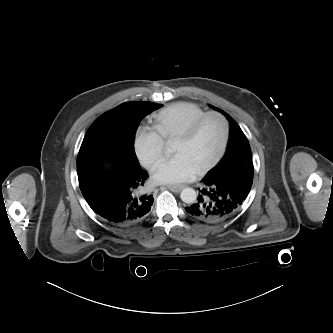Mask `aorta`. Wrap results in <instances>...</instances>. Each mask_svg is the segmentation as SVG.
Listing matches in <instances>:
<instances>
[{"mask_svg":"<svg viewBox=\"0 0 333 333\" xmlns=\"http://www.w3.org/2000/svg\"><path fill=\"white\" fill-rule=\"evenodd\" d=\"M196 197V191L193 188H185L180 194L181 200L187 204L194 203Z\"/></svg>","mask_w":333,"mask_h":333,"instance_id":"obj_1","label":"aorta"}]
</instances>
